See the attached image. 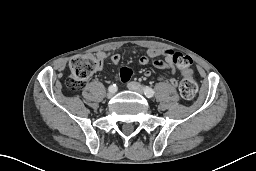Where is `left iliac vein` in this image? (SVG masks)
<instances>
[{
    "instance_id": "left-iliac-vein-1",
    "label": "left iliac vein",
    "mask_w": 256,
    "mask_h": 171,
    "mask_svg": "<svg viewBox=\"0 0 256 171\" xmlns=\"http://www.w3.org/2000/svg\"><path fill=\"white\" fill-rule=\"evenodd\" d=\"M127 87H128V89H130V90H132V91H135V92H138V93H140V94H143L144 93V89L142 88V86L139 84V83H137V82H129L128 84H127Z\"/></svg>"
}]
</instances>
